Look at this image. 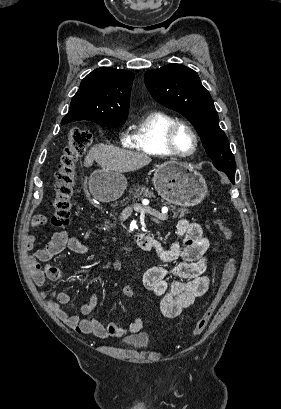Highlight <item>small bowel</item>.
<instances>
[{
	"mask_svg": "<svg viewBox=\"0 0 281 409\" xmlns=\"http://www.w3.org/2000/svg\"><path fill=\"white\" fill-rule=\"evenodd\" d=\"M48 221L47 215H38L36 219L31 220V226L27 227V234L30 236L25 243L28 251L33 249L36 241L33 235H43L46 232L40 224H47ZM151 245V250H154L163 262L172 263V265L148 269L143 275V285L154 296L161 298L160 310L165 317H177L182 309L192 305L195 299L204 295L209 288L210 279L206 274L205 258L209 239L199 224L181 219L177 224L176 237L169 246L166 247L153 238H151ZM65 249L77 254H86L88 251L87 245L69 236L63 230L56 232L44 248L30 255L32 275L37 286H44L47 280L61 281L67 277L56 266L47 264L44 268L41 267V263L48 262ZM169 277L177 279L169 283ZM133 294L131 286H124L114 292L116 297L130 298ZM41 296L48 300L58 318L78 333L94 334L100 338L123 337L138 333L144 327L143 320L140 318L126 326H119L115 323L103 325L96 320L71 315L62 308L71 301V295L68 292L43 290ZM97 304L98 295L93 293L88 302L80 307V314L89 315Z\"/></svg>",
	"mask_w": 281,
	"mask_h": 409,
	"instance_id": "c3829d8e",
	"label": "small bowel"
}]
</instances>
